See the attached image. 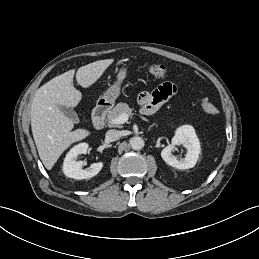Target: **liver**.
I'll return each instance as SVG.
<instances>
[{
	"mask_svg": "<svg viewBox=\"0 0 259 259\" xmlns=\"http://www.w3.org/2000/svg\"><path fill=\"white\" fill-rule=\"evenodd\" d=\"M113 59L98 60L80 67L76 80L83 88L94 84L113 63ZM75 70L54 77L35 93L31 105V128L39 157L51 170L60 155L74 142L90 135L86 129L72 131L74 122L60 107H76L82 94L73 85Z\"/></svg>",
	"mask_w": 259,
	"mask_h": 259,
	"instance_id": "6515ba94",
	"label": "liver"
}]
</instances>
